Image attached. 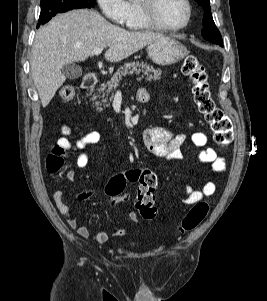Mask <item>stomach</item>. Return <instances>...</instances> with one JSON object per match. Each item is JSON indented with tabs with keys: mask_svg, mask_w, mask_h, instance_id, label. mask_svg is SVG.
<instances>
[{
	"mask_svg": "<svg viewBox=\"0 0 267 301\" xmlns=\"http://www.w3.org/2000/svg\"><path fill=\"white\" fill-rule=\"evenodd\" d=\"M147 52L154 63L162 66L174 64L189 53L182 43L174 38L165 36L149 44Z\"/></svg>",
	"mask_w": 267,
	"mask_h": 301,
	"instance_id": "1",
	"label": "stomach"
}]
</instances>
